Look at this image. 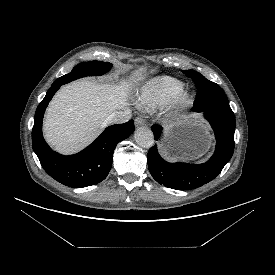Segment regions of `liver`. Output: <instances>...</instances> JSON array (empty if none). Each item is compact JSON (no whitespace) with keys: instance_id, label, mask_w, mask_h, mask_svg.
Returning <instances> with one entry per match:
<instances>
[{"instance_id":"6515ba94","label":"liver","mask_w":275,"mask_h":275,"mask_svg":"<svg viewBox=\"0 0 275 275\" xmlns=\"http://www.w3.org/2000/svg\"><path fill=\"white\" fill-rule=\"evenodd\" d=\"M123 86L87 79L63 86L46 111L47 142L64 154L85 148L106 127V118L126 105Z\"/></svg>"}]
</instances>
